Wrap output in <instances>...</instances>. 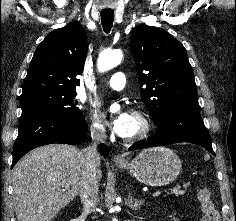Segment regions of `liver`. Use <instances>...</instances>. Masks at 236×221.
Instances as JSON below:
<instances>
[{
  "mask_svg": "<svg viewBox=\"0 0 236 221\" xmlns=\"http://www.w3.org/2000/svg\"><path fill=\"white\" fill-rule=\"evenodd\" d=\"M81 152L75 146L51 144L15 165L12 186L18 221H50L79 194L84 173Z\"/></svg>",
  "mask_w": 236,
  "mask_h": 221,
  "instance_id": "obj_1",
  "label": "liver"
}]
</instances>
